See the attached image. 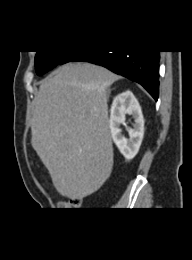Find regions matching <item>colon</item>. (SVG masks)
<instances>
[{"instance_id":"colon-1","label":"colon","mask_w":192,"mask_h":260,"mask_svg":"<svg viewBox=\"0 0 192 260\" xmlns=\"http://www.w3.org/2000/svg\"><path fill=\"white\" fill-rule=\"evenodd\" d=\"M81 204L80 198H71L68 202L60 203L61 208L78 207Z\"/></svg>"}]
</instances>
